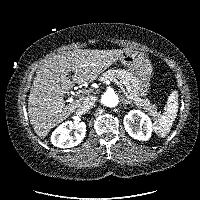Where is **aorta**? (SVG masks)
I'll return each mask as SVG.
<instances>
[{
  "mask_svg": "<svg viewBox=\"0 0 200 200\" xmlns=\"http://www.w3.org/2000/svg\"><path fill=\"white\" fill-rule=\"evenodd\" d=\"M102 105L106 107H115L119 103V97L114 91L105 92L100 99Z\"/></svg>",
  "mask_w": 200,
  "mask_h": 200,
  "instance_id": "1",
  "label": "aorta"
}]
</instances>
